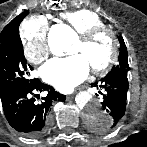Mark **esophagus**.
Wrapping results in <instances>:
<instances>
[{"instance_id": "obj_1", "label": "esophagus", "mask_w": 147, "mask_h": 147, "mask_svg": "<svg viewBox=\"0 0 147 147\" xmlns=\"http://www.w3.org/2000/svg\"><path fill=\"white\" fill-rule=\"evenodd\" d=\"M71 98H72V97H70V96H69V97H67V99H71Z\"/></svg>"}]
</instances>
